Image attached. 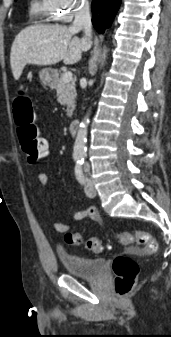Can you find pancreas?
I'll use <instances>...</instances> for the list:
<instances>
[{
	"label": "pancreas",
	"instance_id": "1",
	"mask_svg": "<svg viewBox=\"0 0 171 337\" xmlns=\"http://www.w3.org/2000/svg\"><path fill=\"white\" fill-rule=\"evenodd\" d=\"M63 75L58 79L56 83V92L58 95V102L61 105L67 106V116L71 117L73 114V110L75 108V98H76V90H75V82H64Z\"/></svg>",
	"mask_w": 171,
	"mask_h": 337
}]
</instances>
